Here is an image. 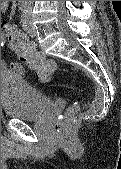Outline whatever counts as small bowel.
Returning <instances> with one entry per match:
<instances>
[{"label":"small bowel","instance_id":"1","mask_svg":"<svg viewBox=\"0 0 121 169\" xmlns=\"http://www.w3.org/2000/svg\"><path fill=\"white\" fill-rule=\"evenodd\" d=\"M3 2V9H5L6 8V5H7V1H2ZM13 26L12 25H9V24H4L3 25V29H4V32L5 31H7L8 29H10V28H12ZM4 38H2V44H4ZM33 44V43H32ZM33 46H34V44H33ZM35 47V46H34ZM1 67L3 68V69H8V68H10V69H12V70H14V71H17V72H22L23 71V67H22V65H20L19 63H17V62H12V63H10V64H7L6 62H2V64H1Z\"/></svg>","mask_w":121,"mask_h":169}]
</instances>
